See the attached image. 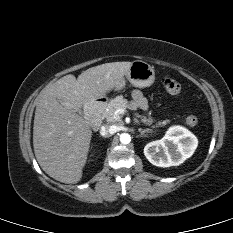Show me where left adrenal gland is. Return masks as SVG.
<instances>
[{"instance_id":"left-adrenal-gland-1","label":"left adrenal gland","mask_w":233,"mask_h":233,"mask_svg":"<svg viewBox=\"0 0 233 233\" xmlns=\"http://www.w3.org/2000/svg\"><path fill=\"white\" fill-rule=\"evenodd\" d=\"M141 135H144L146 132H149V130H142V129H139Z\"/></svg>"}]
</instances>
